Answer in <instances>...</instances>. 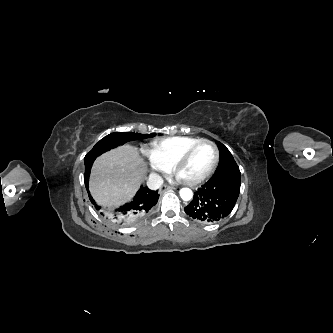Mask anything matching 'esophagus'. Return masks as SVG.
<instances>
[{"label": "esophagus", "instance_id": "obj_1", "mask_svg": "<svg viewBox=\"0 0 333 333\" xmlns=\"http://www.w3.org/2000/svg\"><path fill=\"white\" fill-rule=\"evenodd\" d=\"M175 189V187H172V186H169V185H164L161 189H160V192L161 193H164L166 191H170V190H173Z\"/></svg>", "mask_w": 333, "mask_h": 333}]
</instances>
